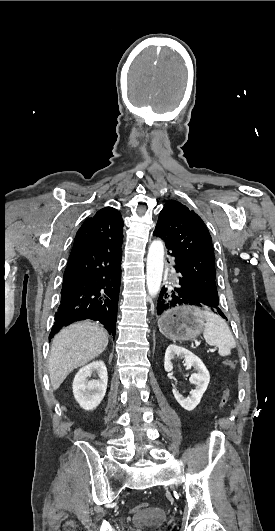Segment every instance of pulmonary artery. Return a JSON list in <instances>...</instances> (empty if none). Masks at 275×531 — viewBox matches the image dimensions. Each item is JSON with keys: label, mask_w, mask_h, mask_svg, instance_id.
Listing matches in <instances>:
<instances>
[{"label": "pulmonary artery", "mask_w": 275, "mask_h": 531, "mask_svg": "<svg viewBox=\"0 0 275 531\" xmlns=\"http://www.w3.org/2000/svg\"><path fill=\"white\" fill-rule=\"evenodd\" d=\"M170 271H171L172 273H175V272L177 271V268H176L175 266H172V267L170 268Z\"/></svg>", "instance_id": "obj_1"}]
</instances>
